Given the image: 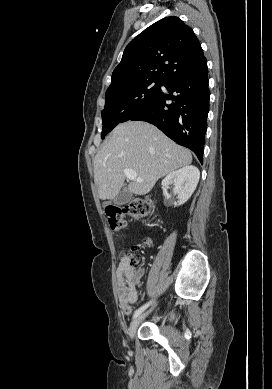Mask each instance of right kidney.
Masks as SVG:
<instances>
[{"label": "right kidney", "mask_w": 272, "mask_h": 389, "mask_svg": "<svg viewBox=\"0 0 272 389\" xmlns=\"http://www.w3.org/2000/svg\"><path fill=\"white\" fill-rule=\"evenodd\" d=\"M199 178V169L195 166L188 165L168 174L162 181V185L163 188H168L171 184L175 185V193L178 195L179 206L187 202L191 197L197 187Z\"/></svg>", "instance_id": "ca27d5eb"}]
</instances>
